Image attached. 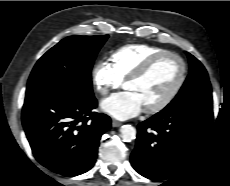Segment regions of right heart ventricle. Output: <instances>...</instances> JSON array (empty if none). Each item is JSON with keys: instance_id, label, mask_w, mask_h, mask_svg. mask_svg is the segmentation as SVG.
Masks as SVG:
<instances>
[{"instance_id": "e07e8e85", "label": "right heart ventricle", "mask_w": 230, "mask_h": 186, "mask_svg": "<svg viewBox=\"0 0 230 186\" xmlns=\"http://www.w3.org/2000/svg\"><path fill=\"white\" fill-rule=\"evenodd\" d=\"M166 52L165 49L148 44H128L112 52L111 65L121 81L126 80L149 58Z\"/></svg>"}]
</instances>
